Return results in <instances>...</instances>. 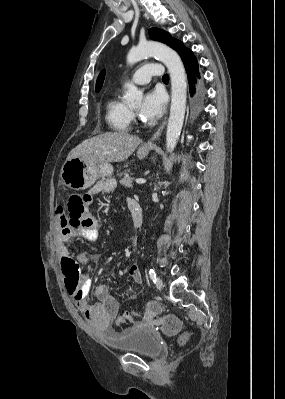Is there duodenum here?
I'll return each instance as SVG.
<instances>
[{"mask_svg":"<svg viewBox=\"0 0 285 399\" xmlns=\"http://www.w3.org/2000/svg\"><path fill=\"white\" fill-rule=\"evenodd\" d=\"M131 216L133 225L136 229H139L142 225V209L139 205H134L131 209Z\"/></svg>","mask_w":285,"mask_h":399,"instance_id":"duodenum-1","label":"duodenum"}]
</instances>
